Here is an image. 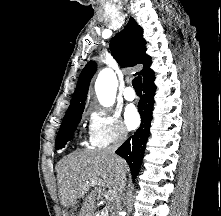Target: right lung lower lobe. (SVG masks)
Returning a JSON list of instances; mask_svg holds the SVG:
<instances>
[{"instance_id":"right-lung-lower-lobe-1","label":"right lung lower lobe","mask_w":221,"mask_h":216,"mask_svg":"<svg viewBox=\"0 0 221 216\" xmlns=\"http://www.w3.org/2000/svg\"><path fill=\"white\" fill-rule=\"evenodd\" d=\"M154 76L146 79L143 84L144 95L141 97L138 111L141 116V125L138 130L128 138L117 150L116 154L124 158L132 173L134 180L139 173L142 158L144 155L145 145L149 136L150 123L152 120V109L154 104V94L156 86Z\"/></svg>"}]
</instances>
